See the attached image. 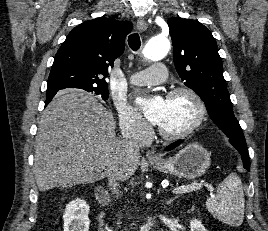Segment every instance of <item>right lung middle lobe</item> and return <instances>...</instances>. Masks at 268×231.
Returning <instances> with one entry per match:
<instances>
[{"mask_svg": "<svg viewBox=\"0 0 268 231\" xmlns=\"http://www.w3.org/2000/svg\"><path fill=\"white\" fill-rule=\"evenodd\" d=\"M58 90L59 89H54V88L53 89H47V93L57 92ZM85 91L92 92V93L97 94V95H101L103 100L108 99V88H95V87H92V88L85 89Z\"/></svg>", "mask_w": 268, "mask_h": 231, "instance_id": "dd1d6c3e", "label": "right lung middle lobe"}]
</instances>
